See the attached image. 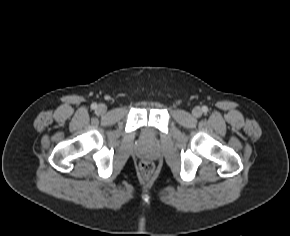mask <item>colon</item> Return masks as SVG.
I'll return each mask as SVG.
<instances>
[{"instance_id":"5ec220e1","label":"colon","mask_w":290,"mask_h":236,"mask_svg":"<svg viewBox=\"0 0 290 236\" xmlns=\"http://www.w3.org/2000/svg\"><path fill=\"white\" fill-rule=\"evenodd\" d=\"M139 169L143 175L148 176L153 172L154 165L150 161H142L139 165Z\"/></svg>"}]
</instances>
